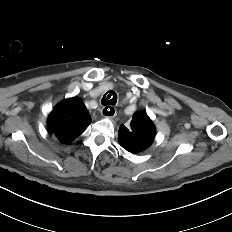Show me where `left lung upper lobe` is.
Returning <instances> with one entry per match:
<instances>
[{
	"mask_svg": "<svg viewBox=\"0 0 232 232\" xmlns=\"http://www.w3.org/2000/svg\"><path fill=\"white\" fill-rule=\"evenodd\" d=\"M156 129L146 112L133 114L131 128L121 125L118 133L120 145L127 151L137 154L145 151L154 141Z\"/></svg>",
	"mask_w": 232,
	"mask_h": 232,
	"instance_id": "1",
	"label": "left lung upper lobe"
}]
</instances>
